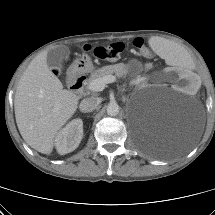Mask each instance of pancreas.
<instances>
[{
    "label": "pancreas",
    "instance_id": "pancreas-1",
    "mask_svg": "<svg viewBox=\"0 0 215 215\" xmlns=\"http://www.w3.org/2000/svg\"><path fill=\"white\" fill-rule=\"evenodd\" d=\"M126 73H127V68L122 63L103 66L102 68H99L93 71L89 79L87 80V82L89 85V83L95 79L103 78L104 76L112 75V74H116L118 77H125Z\"/></svg>",
    "mask_w": 215,
    "mask_h": 215
}]
</instances>
